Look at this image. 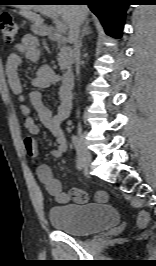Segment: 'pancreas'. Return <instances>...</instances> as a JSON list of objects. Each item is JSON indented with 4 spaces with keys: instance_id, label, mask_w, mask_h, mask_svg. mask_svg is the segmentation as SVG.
Wrapping results in <instances>:
<instances>
[{
    "instance_id": "cf45deb5",
    "label": "pancreas",
    "mask_w": 156,
    "mask_h": 266,
    "mask_svg": "<svg viewBox=\"0 0 156 266\" xmlns=\"http://www.w3.org/2000/svg\"><path fill=\"white\" fill-rule=\"evenodd\" d=\"M60 52L58 53V63L60 69L64 72L67 70L73 63V50L71 47L66 46L62 43H59Z\"/></svg>"
}]
</instances>
